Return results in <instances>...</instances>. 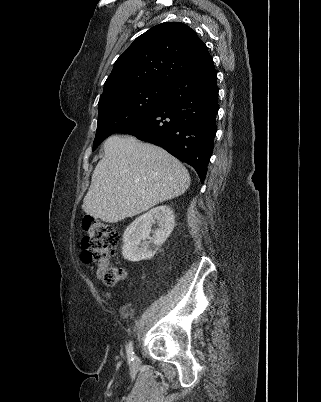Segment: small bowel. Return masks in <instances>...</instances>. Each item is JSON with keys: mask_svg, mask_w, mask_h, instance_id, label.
Wrapping results in <instances>:
<instances>
[{"mask_svg": "<svg viewBox=\"0 0 321 402\" xmlns=\"http://www.w3.org/2000/svg\"><path fill=\"white\" fill-rule=\"evenodd\" d=\"M96 275H97V277L98 278H100L101 277V269L99 268V269H97V271H96Z\"/></svg>", "mask_w": 321, "mask_h": 402, "instance_id": "obj_1", "label": "small bowel"}]
</instances>
